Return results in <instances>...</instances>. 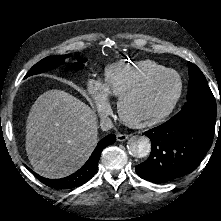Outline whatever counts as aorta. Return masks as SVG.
<instances>
[{
  "label": "aorta",
  "instance_id": "762f6f07",
  "mask_svg": "<svg viewBox=\"0 0 221 221\" xmlns=\"http://www.w3.org/2000/svg\"><path fill=\"white\" fill-rule=\"evenodd\" d=\"M128 152L135 158H144L150 154L151 142L146 136L133 137L127 144Z\"/></svg>",
  "mask_w": 221,
  "mask_h": 221
}]
</instances>
